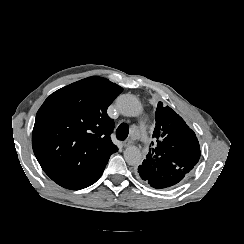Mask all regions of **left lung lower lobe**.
I'll return each mask as SVG.
<instances>
[{
  "instance_id": "obj_1",
  "label": "left lung lower lobe",
  "mask_w": 244,
  "mask_h": 244,
  "mask_svg": "<svg viewBox=\"0 0 244 244\" xmlns=\"http://www.w3.org/2000/svg\"><path fill=\"white\" fill-rule=\"evenodd\" d=\"M138 173L145 183L154 188H166L180 182L187 173L174 169L169 162L147 158L138 167Z\"/></svg>"
}]
</instances>
